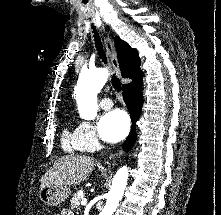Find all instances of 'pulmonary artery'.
<instances>
[{
	"instance_id": "obj_1",
	"label": "pulmonary artery",
	"mask_w": 221,
	"mask_h": 215,
	"mask_svg": "<svg viewBox=\"0 0 221 215\" xmlns=\"http://www.w3.org/2000/svg\"><path fill=\"white\" fill-rule=\"evenodd\" d=\"M100 106L103 109H110L113 106V102L110 98H103L100 101Z\"/></svg>"
}]
</instances>
